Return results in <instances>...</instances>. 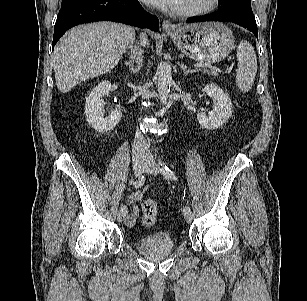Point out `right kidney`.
<instances>
[{
	"label": "right kidney",
	"instance_id": "right-kidney-1",
	"mask_svg": "<svg viewBox=\"0 0 307 301\" xmlns=\"http://www.w3.org/2000/svg\"><path fill=\"white\" fill-rule=\"evenodd\" d=\"M111 90L110 81L100 82L87 96L85 104V114L89 125L100 133H105L114 129L120 122L122 113L113 111L108 117H104L102 107L104 101L102 97Z\"/></svg>",
	"mask_w": 307,
	"mask_h": 301
}]
</instances>
